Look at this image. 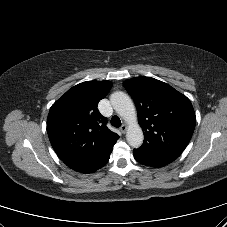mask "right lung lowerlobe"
<instances>
[{
  "instance_id": "obj_1",
  "label": "right lung lower lobe",
  "mask_w": 227,
  "mask_h": 227,
  "mask_svg": "<svg viewBox=\"0 0 227 227\" xmlns=\"http://www.w3.org/2000/svg\"><path fill=\"white\" fill-rule=\"evenodd\" d=\"M114 145L107 148L103 153L94 159L88 160L82 164L70 165L71 169L81 173H92L102 168L109 160Z\"/></svg>"
}]
</instances>
